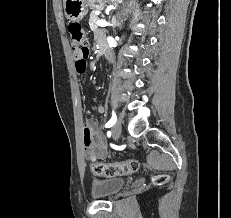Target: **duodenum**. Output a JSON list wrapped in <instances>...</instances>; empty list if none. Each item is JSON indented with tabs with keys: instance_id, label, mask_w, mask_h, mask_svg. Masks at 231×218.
<instances>
[{
	"instance_id": "duodenum-1",
	"label": "duodenum",
	"mask_w": 231,
	"mask_h": 218,
	"mask_svg": "<svg viewBox=\"0 0 231 218\" xmlns=\"http://www.w3.org/2000/svg\"><path fill=\"white\" fill-rule=\"evenodd\" d=\"M101 56L107 60L111 59L110 52L106 48L101 49Z\"/></svg>"
}]
</instances>
